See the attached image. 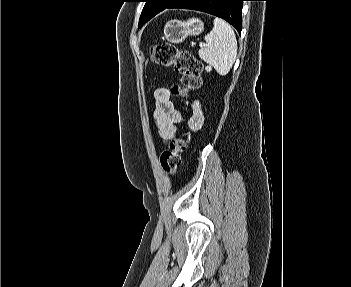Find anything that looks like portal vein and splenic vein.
Segmentation results:
<instances>
[{
    "instance_id": "obj_1",
    "label": "portal vein and splenic vein",
    "mask_w": 351,
    "mask_h": 287,
    "mask_svg": "<svg viewBox=\"0 0 351 287\" xmlns=\"http://www.w3.org/2000/svg\"><path fill=\"white\" fill-rule=\"evenodd\" d=\"M205 45H203V44H200V47L202 48V47H204Z\"/></svg>"
}]
</instances>
